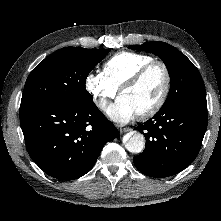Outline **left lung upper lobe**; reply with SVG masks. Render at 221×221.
Segmentation results:
<instances>
[{
    "mask_svg": "<svg viewBox=\"0 0 221 221\" xmlns=\"http://www.w3.org/2000/svg\"><path fill=\"white\" fill-rule=\"evenodd\" d=\"M129 48L151 52L160 57L166 65L171 86L163 106L176 102H206L205 86L198 69L175 47L154 41Z\"/></svg>",
    "mask_w": 221,
    "mask_h": 221,
    "instance_id": "1",
    "label": "left lung upper lobe"
}]
</instances>
